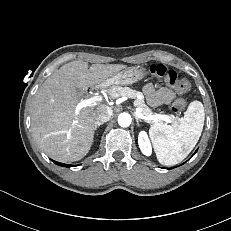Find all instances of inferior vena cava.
Segmentation results:
<instances>
[{"mask_svg": "<svg viewBox=\"0 0 231 231\" xmlns=\"http://www.w3.org/2000/svg\"><path fill=\"white\" fill-rule=\"evenodd\" d=\"M112 109L109 106L102 105L96 110V122L104 123L110 120L112 116Z\"/></svg>", "mask_w": 231, "mask_h": 231, "instance_id": "602c4592", "label": "inferior vena cava"}]
</instances>
